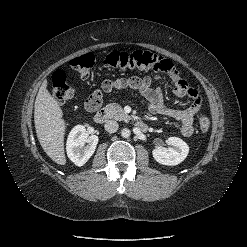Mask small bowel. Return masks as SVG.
I'll return each mask as SVG.
<instances>
[{"instance_id":"obj_1","label":"small bowel","mask_w":247,"mask_h":247,"mask_svg":"<svg viewBox=\"0 0 247 247\" xmlns=\"http://www.w3.org/2000/svg\"><path fill=\"white\" fill-rule=\"evenodd\" d=\"M176 70V69H175ZM173 79V93L177 97H188L192 103L188 108H172L165 104L160 87H153V80L149 76L142 78L131 77L126 79L106 80L102 84L104 91L109 92L114 89H133L141 93L146 99L148 110L154 114H163L180 122V132L183 136L189 137L193 134V120L195 115L201 110L202 99L198 91L189 86L180 77L178 71L169 73ZM103 94L100 90L94 91L85 101V108L88 111H95L102 104Z\"/></svg>"}]
</instances>
